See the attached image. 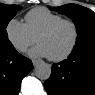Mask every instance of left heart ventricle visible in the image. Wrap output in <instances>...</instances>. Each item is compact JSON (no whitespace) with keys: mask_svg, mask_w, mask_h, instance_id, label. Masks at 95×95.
<instances>
[{"mask_svg":"<svg viewBox=\"0 0 95 95\" xmlns=\"http://www.w3.org/2000/svg\"><path fill=\"white\" fill-rule=\"evenodd\" d=\"M74 39V28L71 24L64 23L58 26L50 34L39 38L38 44L42 45L49 56L63 54L72 44Z\"/></svg>","mask_w":95,"mask_h":95,"instance_id":"b2bd125f","label":"left heart ventricle"}]
</instances>
